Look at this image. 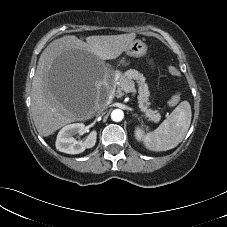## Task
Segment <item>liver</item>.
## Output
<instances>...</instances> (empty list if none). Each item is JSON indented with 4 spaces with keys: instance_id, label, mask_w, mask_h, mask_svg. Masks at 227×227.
<instances>
[{
    "instance_id": "obj_1",
    "label": "liver",
    "mask_w": 227,
    "mask_h": 227,
    "mask_svg": "<svg viewBox=\"0 0 227 227\" xmlns=\"http://www.w3.org/2000/svg\"><path fill=\"white\" fill-rule=\"evenodd\" d=\"M135 33L88 36L86 42L73 35L52 41L41 53L32 82L31 113L38 133L49 136L76 120L89 118L94 107L86 110L83 101L97 103L103 84L99 61L119 57L134 41ZM95 58V60H94ZM67 60L81 63L88 74L85 88L74 95L60 92L53 81L56 67Z\"/></svg>"
}]
</instances>
